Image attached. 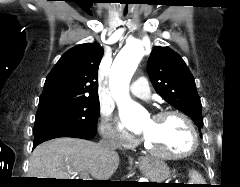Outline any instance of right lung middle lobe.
I'll list each match as a JSON object with an SVG mask.
<instances>
[{
  "instance_id": "dd1d6c3e",
  "label": "right lung middle lobe",
  "mask_w": 240,
  "mask_h": 187,
  "mask_svg": "<svg viewBox=\"0 0 240 187\" xmlns=\"http://www.w3.org/2000/svg\"><path fill=\"white\" fill-rule=\"evenodd\" d=\"M99 100L57 101L39 105L34 135L50 129H64L85 135L96 132Z\"/></svg>"
}]
</instances>
